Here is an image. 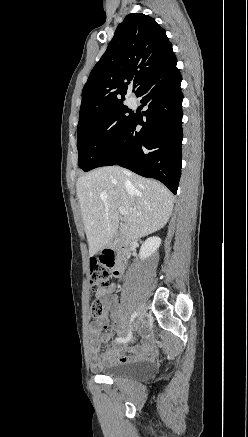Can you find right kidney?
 I'll return each mask as SVG.
<instances>
[{
	"label": "right kidney",
	"instance_id": "right-kidney-1",
	"mask_svg": "<svg viewBox=\"0 0 248 437\" xmlns=\"http://www.w3.org/2000/svg\"><path fill=\"white\" fill-rule=\"evenodd\" d=\"M161 244V239L159 237H150L148 238L140 248V258L142 260L150 257L152 254L156 252Z\"/></svg>",
	"mask_w": 248,
	"mask_h": 437
}]
</instances>
